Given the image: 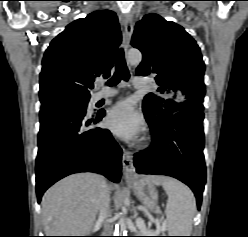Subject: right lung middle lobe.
Instances as JSON below:
<instances>
[{
    "label": "right lung middle lobe",
    "instance_id": "obj_1",
    "mask_svg": "<svg viewBox=\"0 0 248 237\" xmlns=\"http://www.w3.org/2000/svg\"><path fill=\"white\" fill-rule=\"evenodd\" d=\"M88 101L89 100L61 99L43 105L41 106V108L44 109V108H55V107H68V108H74V109L86 111Z\"/></svg>",
    "mask_w": 248,
    "mask_h": 237
}]
</instances>
